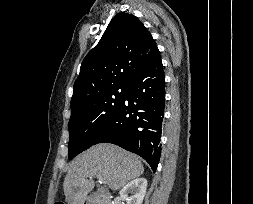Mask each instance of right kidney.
Returning a JSON list of instances; mask_svg holds the SVG:
<instances>
[{"mask_svg": "<svg viewBox=\"0 0 253 204\" xmlns=\"http://www.w3.org/2000/svg\"><path fill=\"white\" fill-rule=\"evenodd\" d=\"M146 189L147 180L145 178H136L125 185L119 194L127 204H142Z\"/></svg>", "mask_w": 253, "mask_h": 204, "instance_id": "obj_1", "label": "right kidney"}]
</instances>
